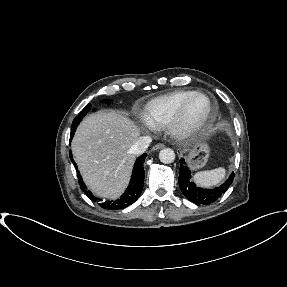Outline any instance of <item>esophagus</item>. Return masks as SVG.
<instances>
[{
	"label": "esophagus",
	"mask_w": 287,
	"mask_h": 287,
	"mask_svg": "<svg viewBox=\"0 0 287 287\" xmlns=\"http://www.w3.org/2000/svg\"><path fill=\"white\" fill-rule=\"evenodd\" d=\"M165 145L162 144V143H159V144H156L152 147V150L153 151H156V150H159V149H162Z\"/></svg>",
	"instance_id": "esophagus-1"
}]
</instances>
